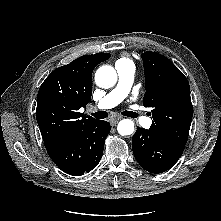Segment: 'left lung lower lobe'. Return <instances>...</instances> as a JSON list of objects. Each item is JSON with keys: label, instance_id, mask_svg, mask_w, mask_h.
Segmentation results:
<instances>
[{"label": "left lung lower lobe", "instance_id": "obj_1", "mask_svg": "<svg viewBox=\"0 0 221 221\" xmlns=\"http://www.w3.org/2000/svg\"><path fill=\"white\" fill-rule=\"evenodd\" d=\"M185 146L163 140L150 130L137 127L132 149L137 162L151 173L169 170L180 158Z\"/></svg>", "mask_w": 221, "mask_h": 221}]
</instances>
